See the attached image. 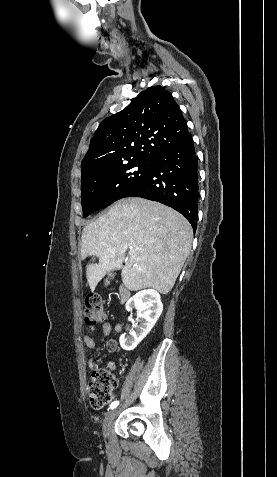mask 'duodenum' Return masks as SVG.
Segmentation results:
<instances>
[{
	"label": "duodenum",
	"mask_w": 277,
	"mask_h": 477,
	"mask_svg": "<svg viewBox=\"0 0 277 477\" xmlns=\"http://www.w3.org/2000/svg\"><path fill=\"white\" fill-rule=\"evenodd\" d=\"M130 291L126 286H121L119 288V300L121 303H125L130 298Z\"/></svg>",
	"instance_id": "obj_1"
}]
</instances>
